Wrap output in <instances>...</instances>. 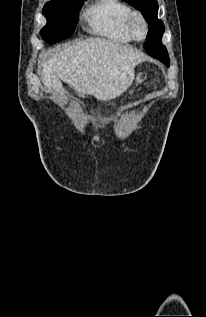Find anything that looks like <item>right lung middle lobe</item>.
Here are the masks:
<instances>
[{"label":"right lung middle lobe","instance_id":"1","mask_svg":"<svg viewBox=\"0 0 206 317\" xmlns=\"http://www.w3.org/2000/svg\"><path fill=\"white\" fill-rule=\"evenodd\" d=\"M84 0H52L45 4L43 14L47 24L40 31L47 43L68 38L75 30Z\"/></svg>","mask_w":206,"mask_h":317}]
</instances>
